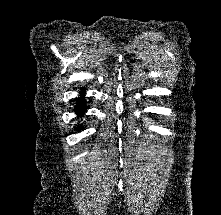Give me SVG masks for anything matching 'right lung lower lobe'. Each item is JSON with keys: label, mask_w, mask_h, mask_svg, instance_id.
Wrapping results in <instances>:
<instances>
[{"label": "right lung lower lobe", "mask_w": 221, "mask_h": 215, "mask_svg": "<svg viewBox=\"0 0 221 215\" xmlns=\"http://www.w3.org/2000/svg\"><path fill=\"white\" fill-rule=\"evenodd\" d=\"M83 97L81 96V99H82ZM80 99V100H81ZM85 110H86V108H85V106H84V104H83V101H80L79 103H78V105L75 107V112H76V114L77 115H83L84 114V112H85Z\"/></svg>", "instance_id": "right-lung-lower-lobe-1"}]
</instances>
